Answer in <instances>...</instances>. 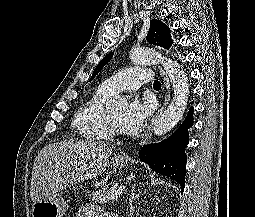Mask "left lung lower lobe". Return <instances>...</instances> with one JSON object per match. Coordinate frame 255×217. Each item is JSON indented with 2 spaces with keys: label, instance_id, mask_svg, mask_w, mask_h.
Wrapping results in <instances>:
<instances>
[{
  "label": "left lung lower lobe",
  "instance_id": "1",
  "mask_svg": "<svg viewBox=\"0 0 255 217\" xmlns=\"http://www.w3.org/2000/svg\"><path fill=\"white\" fill-rule=\"evenodd\" d=\"M193 125V107L180 127L168 138L158 144L145 145L139 158L150 168L161 175L167 176L185 187L187 156L185 148L189 142L188 129Z\"/></svg>",
  "mask_w": 255,
  "mask_h": 217
}]
</instances>
